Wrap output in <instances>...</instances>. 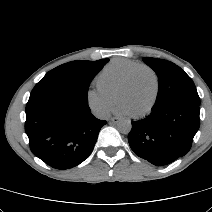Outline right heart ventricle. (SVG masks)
Here are the masks:
<instances>
[{
  "label": "right heart ventricle",
  "instance_id": "right-heart-ventricle-1",
  "mask_svg": "<svg viewBox=\"0 0 212 212\" xmlns=\"http://www.w3.org/2000/svg\"><path fill=\"white\" fill-rule=\"evenodd\" d=\"M140 65V63L129 59H115L100 72L97 79L98 86L102 90L115 95L130 72Z\"/></svg>",
  "mask_w": 212,
  "mask_h": 212
}]
</instances>
